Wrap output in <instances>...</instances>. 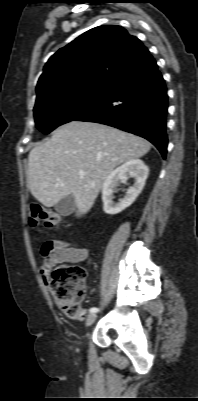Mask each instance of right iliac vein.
<instances>
[{"label": "right iliac vein", "instance_id": "obj_1", "mask_svg": "<svg viewBox=\"0 0 198 401\" xmlns=\"http://www.w3.org/2000/svg\"><path fill=\"white\" fill-rule=\"evenodd\" d=\"M96 318H97V315L95 313L88 315L87 320H86V326L88 327V326L92 325L95 322Z\"/></svg>", "mask_w": 198, "mask_h": 401}]
</instances>
